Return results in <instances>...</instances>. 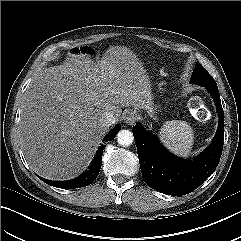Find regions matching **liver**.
I'll list each match as a JSON object with an SVG mask.
<instances>
[{"label":"liver","instance_id":"6515ba94","mask_svg":"<svg viewBox=\"0 0 241 241\" xmlns=\"http://www.w3.org/2000/svg\"><path fill=\"white\" fill-rule=\"evenodd\" d=\"M149 77L137 56L122 46L106 50L97 63L72 54L62 65L44 68L31 80L19 122L21 146L30 168L49 180H70L90 164L123 107L152 105Z\"/></svg>","mask_w":241,"mask_h":241}]
</instances>
